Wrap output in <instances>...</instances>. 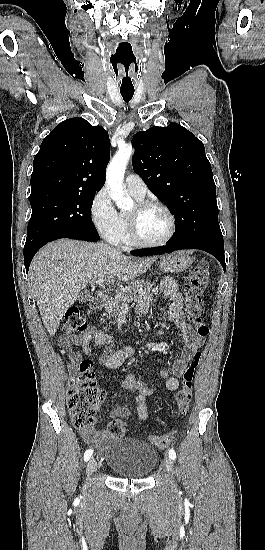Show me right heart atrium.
Returning a JSON list of instances; mask_svg holds the SVG:
<instances>
[{"label": "right heart atrium", "mask_w": 265, "mask_h": 550, "mask_svg": "<svg viewBox=\"0 0 265 550\" xmlns=\"http://www.w3.org/2000/svg\"><path fill=\"white\" fill-rule=\"evenodd\" d=\"M89 214L96 231L113 242L120 231V218L107 190L100 189L92 198Z\"/></svg>", "instance_id": "obj_1"}]
</instances>
